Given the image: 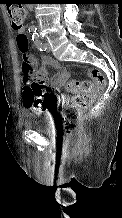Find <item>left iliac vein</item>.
I'll list each match as a JSON object with an SVG mask.
<instances>
[{"instance_id": "left-iliac-vein-1", "label": "left iliac vein", "mask_w": 122, "mask_h": 218, "mask_svg": "<svg viewBox=\"0 0 122 218\" xmlns=\"http://www.w3.org/2000/svg\"><path fill=\"white\" fill-rule=\"evenodd\" d=\"M44 45H45L46 50H47L48 52L51 51V46H50V44H49L48 42H45Z\"/></svg>"}]
</instances>
